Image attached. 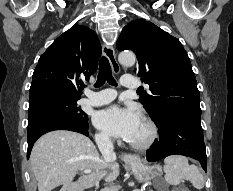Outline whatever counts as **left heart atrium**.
I'll list each match as a JSON object with an SVG mask.
<instances>
[{"instance_id": "39dd6f15", "label": "left heart atrium", "mask_w": 233, "mask_h": 191, "mask_svg": "<svg viewBox=\"0 0 233 191\" xmlns=\"http://www.w3.org/2000/svg\"><path fill=\"white\" fill-rule=\"evenodd\" d=\"M141 117L133 107L110 106L94 116L95 125L106 133L130 141L137 131Z\"/></svg>"}]
</instances>
